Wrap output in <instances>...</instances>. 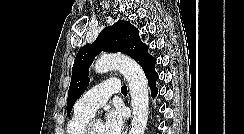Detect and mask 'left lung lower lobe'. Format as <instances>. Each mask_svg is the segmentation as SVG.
I'll return each mask as SVG.
<instances>
[{"label":"left lung lower lobe","instance_id":"obj_1","mask_svg":"<svg viewBox=\"0 0 244 134\" xmlns=\"http://www.w3.org/2000/svg\"><path fill=\"white\" fill-rule=\"evenodd\" d=\"M146 78L151 89L152 97L154 98L157 95L156 80L158 79V74L153 70L146 73Z\"/></svg>","mask_w":244,"mask_h":134}]
</instances>
